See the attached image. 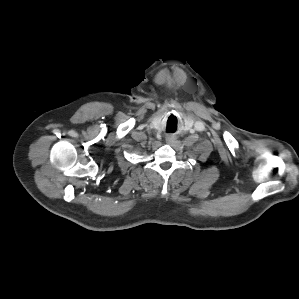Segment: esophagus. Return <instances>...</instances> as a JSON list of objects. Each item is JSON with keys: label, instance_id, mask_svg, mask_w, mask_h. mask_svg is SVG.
<instances>
[{"label": "esophagus", "instance_id": "1", "mask_svg": "<svg viewBox=\"0 0 299 299\" xmlns=\"http://www.w3.org/2000/svg\"><path fill=\"white\" fill-rule=\"evenodd\" d=\"M167 142H172V139L170 137L167 138Z\"/></svg>", "mask_w": 299, "mask_h": 299}]
</instances>
